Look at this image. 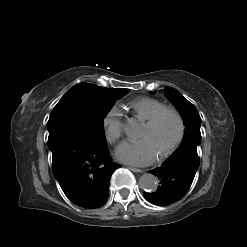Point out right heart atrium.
Here are the masks:
<instances>
[{
    "mask_svg": "<svg viewBox=\"0 0 247 247\" xmlns=\"http://www.w3.org/2000/svg\"><path fill=\"white\" fill-rule=\"evenodd\" d=\"M102 127L105 139L115 144L123 133L122 113L118 106L111 107L103 117Z\"/></svg>",
    "mask_w": 247,
    "mask_h": 247,
    "instance_id": "obj_1",
    "label": "right heart atrium"
}]
</instances>
